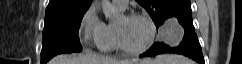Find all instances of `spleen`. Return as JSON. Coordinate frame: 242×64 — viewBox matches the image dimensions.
<instances>
[{
	"label": "spleen",
	"mask_w": 242,
	"mask_h": 64,
	"mask_svg": "<svg viewBox=\"0 0 242 64\" xmlns=\"http://www.w3.org/2000/svg\"><path fill=\"white\" fill-rule=\"evenodd\" d=\"M156 64H192V62L180 55H158L155 59Z\"/></svg>",
	"instance_id": "1"
}]
</instances>
